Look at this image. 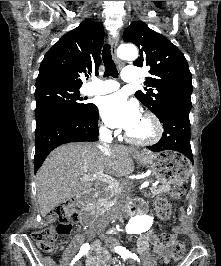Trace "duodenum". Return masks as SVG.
I'll list each match as a JSON object with an SVG mask.
<instances>
[{
    "label": "duodenum",
    "mask_w": 221,
    "mask_h": 266,
    "mask_svg": "<svg viewBox=\"0 0 221 266\" xmlns=\"http://www.w3.org/2000/svg\"><path fill=\"white\" fill-rule=\"evenodd\" d=\"M96 192H86L78 196V201L82 206L80 213V222L83 226H91L95 219L96 209L92 207L91 203L96 199ZM143 209V206L139 202H133L128 205L127 208H123V211H127L128 215L133 216L139 213Z\"/></svg>",
    "instance_id": "410a0bca"
}]
</instances>
